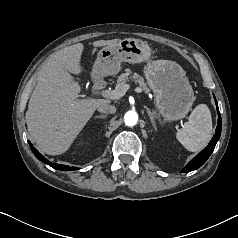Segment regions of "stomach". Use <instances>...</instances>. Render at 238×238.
<instances>
[{
	"label": "stomach",
	"mask_w": 238,
	"mask_h": 238,
	"mask_svg": "<svg viewBox=\"0 0 238 238\" xmlns=\"http://www.w3.org/2000/svg\"><path fill=\"white\" fill-rule=\"evenodd\" d=\"M151 49L147 42L126 38L116 44L103 47L93 65V75L112 76L119 73L122 62L147 61L145 77L154 92L159 112L167 121L184 118L194 103V92L186 72L176 62L150 60Z\"/></svg>",
	"instance_id": "1"
}]
</instances>
